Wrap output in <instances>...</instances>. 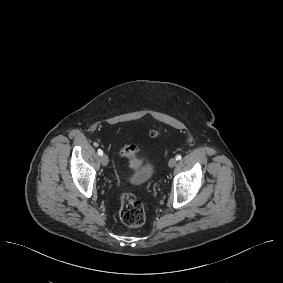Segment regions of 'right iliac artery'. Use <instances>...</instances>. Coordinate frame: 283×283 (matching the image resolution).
<instances>
[{
	"mask_svg": "<svg viewBox=\"0 0 283 283\" xmlns=\"http://www.w3.org/2000/svg\"><path fill=\"white\" fill-rule=\"evenodd\" d=\"M98 154H99L100 156H102V155H103V151H102L101 149H98Z\"/></svg>",
	"mask_w": 283,
	"mask_h": 283,
	"instance_id": "obj_1",
	"label": "right iliac artery"
}]
</instances>
